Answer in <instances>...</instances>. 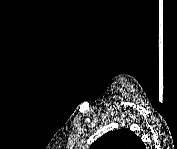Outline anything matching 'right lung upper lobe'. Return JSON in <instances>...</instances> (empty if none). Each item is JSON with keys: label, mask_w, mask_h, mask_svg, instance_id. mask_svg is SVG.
I'll use <instances>...</instances> for the list:
<instances>
[{"label": "right lung upper lobe", "mask_w": 177, "mask_h": 149, "mask_svg": "<svg viewBox=\"0 0 177 149\" xmlns=\"http://www.w3.org/2000/svg\"><path fill=\"white\" fill-rule=\"evenodd\" d=\"M144 143L129 129H119L106 133L97 139L90 149H139Z\"/></svg>", "instance_id": "1"}]
</instances>
